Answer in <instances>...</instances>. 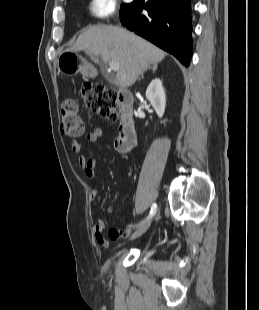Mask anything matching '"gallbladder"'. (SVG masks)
I'll use <instances>...</instances> for the list:
<instances>
[{"mask_svg": "<svg viewBox=\"0 0 259 310\" xmlns=\"http://www.w3.org/2000/svg\"><path fill=\"white\" fill-rule=\"evenodd\" d=\"M103 66H104V65H102V67H103ZM105 77H106L107 79L112 80V78H110V77H109V76H107V75H106Z\"/></svg>", "mask_w": 259, "mask_h": 310, "instance_id": "1", "label": "gallbladder"}]
</instances>
